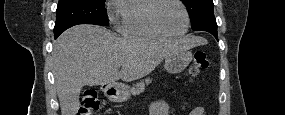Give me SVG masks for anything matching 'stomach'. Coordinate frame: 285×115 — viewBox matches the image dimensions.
Returning <instances> with one entry per match:
<instances>
[{
	"label": "stomach",
	"instance_id": "stomach-1",
	"mask_svg": "<svg viewBox=\"0 0 285 115\" xmlns=\"http://www.w3.org/2000/svg\"><path fill=\"white\" fill-rule=\"evenodd\" d=\"M192 54L188 51L174 53L165 58L164 67L171 74L182 72L191 62ZM105 96L112 102L121 103L127 101L131 94L130 87L122 84H109L103 89Z\"/></svg>",
	"mask_w": 285,
	"mask_h": 115
}]
</instances>
